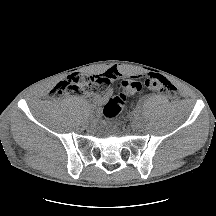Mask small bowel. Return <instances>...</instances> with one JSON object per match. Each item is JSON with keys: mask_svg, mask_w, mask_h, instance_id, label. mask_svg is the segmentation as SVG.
Segmentation results:
<instances>
[{"mask_svg": "<svg viewBox=\"0 0 216 216\" xmlns=\"http://www.w3.org/2000/svg\"><path fill=\"white\" fill-rule=\"evenodd\" d=\"M105 75L108 76L111 80H116L122 78L124 75L121 73L117 68H109L106 72ZM137 91H130L128 94H134ZM113 90L112 88H109L105 93L102 95H96L94 97V102L97 105L103 104L105 101L109 99V97L112 95Z\"/></svg>", "mask_w": 216, "mask_h": 216, "instance_id": "obj_1", "label": "small bowel"}]
</instances>
